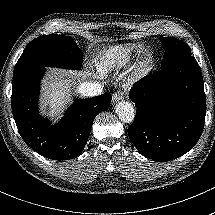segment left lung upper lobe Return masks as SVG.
I'll use <instances>...</instances> for the list:
<instances>
[{
	"instance_id": "1",
	"label": "left lung upper lobe",
	"mask_w": 215,
	"mask_h": 215,
	"mask_svg": "<svg viewBox=\"0 0 215 215\" xmlns=\"http://www.w3.org/2000/svg\"><path fill=\"white\" fill-rule=\"evenodd\" d=\"M160 41L165 48L161 69L178 62L194 58L191 55L190 47L181 40L173 37H162L160 38Z\"/></svg>"
}]
</instances>
